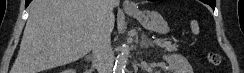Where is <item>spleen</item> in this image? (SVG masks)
I'll list each match as a JSON object with an SVG mask.
<instances>
[{"instance_id":"3e777b00","label":"spleen","mask_w":244,"mask_h":73,"mask_svg":"<svg viewBox=\"0 0 244 73\" xmlns=\"http://www.w3.org/2000/svg\"><path fill=\"white\" fill-rule=\"evenodd\" d=\"M190 25H191L192 33L198 35L199 34L198 22L196 20H192Z\"/></svg>"}]
</instances>
